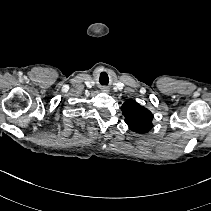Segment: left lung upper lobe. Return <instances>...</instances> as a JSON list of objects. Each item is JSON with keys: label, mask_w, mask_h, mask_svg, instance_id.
Here are the masks:
<instances>
[{"label": "left lung upper lobe", "mask_w": 211, "mask_h": 211, "mask_svg": "<svg viewBox=\"0 0 211 211\" xmlns=\"http://www.w3.org/2000/svg\"><path fill=\"white\" fill-rule=\"evenodd\" d=\"M125 122L128 127L137 133H147L153 127V114L134 100H127L121 106Z\"/></svg>", "instance_id": "5c2ea615"}]
</instances>
